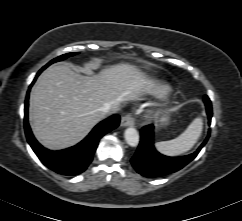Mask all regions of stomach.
Wrapping results in <instances>:
<instances>
[{"mask_svg":"<svg viewBox=\"0 0 242 221\" xmlns=\"http://www.w3.org/2000/svg\"><path fill=\"white\" fill-rule=\"evenodd\" d=\"M162 122H163V123H166V122H167V118H163V119H162Z\"/></svg>","mask_w":242,"mask_h":221,"instance_id":"1","label":"stomach"}]
</instances>
